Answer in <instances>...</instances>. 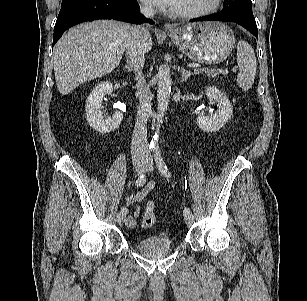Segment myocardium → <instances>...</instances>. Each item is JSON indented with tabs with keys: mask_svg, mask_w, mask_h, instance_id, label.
Segmentation results:
<instances>
[{
	"mask_svg": "<svg viewBox=\"0 0 307 301\" xmlns=\"http://www.w3.org/2000/svg\"><path fill=\"white\" fill-rule=\"evenodd\" d=\"M223 0H211L208 6L190 11H173V15L178 18L193 19L211 15L222 6Z\"/></svg>",
	"mask_w": 307,
	"mask_h": 301,
	"instance_id": "1",
	"label": "myocardium"
}]
</instances>
